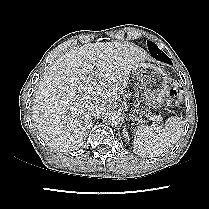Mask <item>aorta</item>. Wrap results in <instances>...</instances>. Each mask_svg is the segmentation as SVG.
I'll return each instance as SVG.
<instances>
[{"instance_id": "obj_1", "label": "aorta", "mask_w": 209, "mask_h": 209, "mask_svg": "<svg viewBox=\"0 0 209 209\" xmlns=\"http://www.w3.org/2000/svg\"><path fill=\"white\" fill-rule=\"evenodd\" d=\"M105 121L111 126H116L121 123L122 115L118 111H111L105 114Z\"/></svg>"}]
</instances>
